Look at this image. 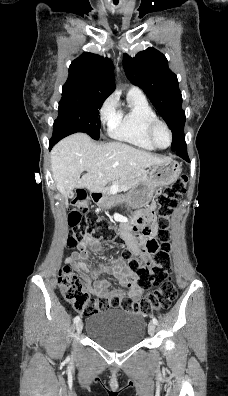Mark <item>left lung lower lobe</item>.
Segmentation results:
<instances>
[{
  "label": "left lung lower lobe",
  "instance_id": "0a47b994",
  "mask_svg": "<svg viewBox=\"0 0 228 396\" xmlns=\"http://www.w3.org/2000/svg\"><path fill=\"white\" fill-rule=\"evenodd\" d=\"M184 159H185V160H188V155H187V154L184 155Z\"/></svg>",
  "mask_w": 228,
  "mask_h": 396
}]
</instances>
